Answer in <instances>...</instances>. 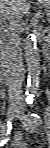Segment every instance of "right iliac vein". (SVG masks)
Here are the masks:
<instances>
[{"instance_id": "obj_1", "label": "right iliac vein", "mask_w": 50, "mask_h": 148, "mask_svg": "<svg viewBox=\"0 0 50 148\" xmlns=\"http://www.w3.org/2000/svg\"><path fill=\"white\" fill-rule=\"evenodd\" d=\"M15 113H16V107L15 106H10L8 111H7V120H8V122L12 121ZM1 136L2 137L4 136L2 131H1Z\"/></svg>"}]
</instances>
